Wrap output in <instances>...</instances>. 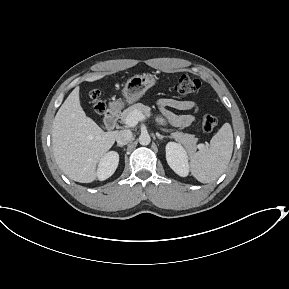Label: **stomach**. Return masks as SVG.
<instances>
[{
  "label": "stomach",
  "instance_id": "0dacf381",
  "mask_svg": "<svg viewBox=\"0 0 289 289\" xmlns=\"http://www.w3.org/2000/svg\"><path fill=\"white\" fill-rule=\"evenodd\" d=\"M156 82L157 78L151 74L135 75L129 78L122 89L124 101L129 104L138 101ZM123 104L122 99L114 102L117 107H121Z\"/></svg>",
  "mask_w": 289,
  "mask_h": 289
}]
</instances>
